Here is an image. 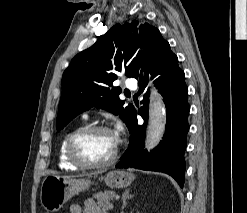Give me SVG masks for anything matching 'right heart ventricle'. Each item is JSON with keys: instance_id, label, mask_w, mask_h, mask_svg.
I'll list each match as a JSON object with an SVG mask.
<instances>
[{"instance_id": "1", "label": "right heart ventricle", "mask_w": 247, "mask_h": 213, "mask_svg": "<svg viewBox=\"0 0 247 213\" xmlns=\"http://www.w3.org/2000/svg\"><path fill=\"white\" fill-rule=\"evenodd\" d=\"M77 128L71 129L68 132H66L59 144L58 148V166L60 169L65 170V171H77L79 170V167L75 166L72 164L67 156V141L70 137V135L76 130Z\"/></svg>"}]
</instances>
